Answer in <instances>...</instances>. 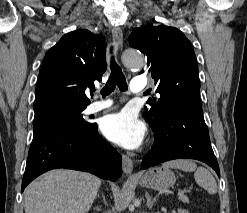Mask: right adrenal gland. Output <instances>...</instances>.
<instances>
[{"label": "right adrenal gland", "instance_id": "2a0ac1e0", "mask_svg": "<svg viewBox=\"0 0 247 213\" xmlns=\"http://www.w3.org/2000/svg\"><path fill=\"white\" fill-rule=\"evenodd\" d=\"M102 199H103L104 204L106 205L107 203H106L105 197L103 195H102ZM94 210H96L97 212H100L102 209L100 206H96V207H94Z\"/></svg>", "mask_w": 247, "mask_h": 213}]
</instances>
